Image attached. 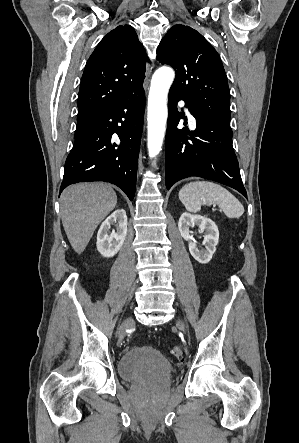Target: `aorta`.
<instances>
[{
  "instance_id": "aorta-1",
  "label": "aorta",
  "mask_w": 299,
  "mask_h": 443,
  "mask_svg": "<svg viewBox=\"0 0 299 443\" xmlns=\"http://www.w3.org/2000/svg\"><path fill=\"white\" fill-rule=\"evenodd\" d=\"M174 77L171 68L161 67L155 71L151 80L147 115V148L151 158L162 150L168 116L167 95Z\"/></svg>"
}]
</instances>
